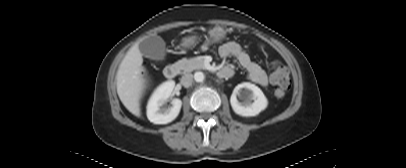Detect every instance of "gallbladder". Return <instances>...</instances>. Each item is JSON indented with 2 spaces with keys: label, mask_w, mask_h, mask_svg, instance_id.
Wrapping results in <instances>:
<instances>
[{
  "label": "gallbladder",
  "mask_w": 406,
  "mask_h": 168,
  "mask_svg": "<svg viewBox=\"0 0 406 168\" xmlns=\"http://www.w3.org/2000/svg\"><path fill=\"white\" fill-rule=\"evenodd\" d=\"M141 54L153 60H163L166 55L164 40L157 35L145 38L139 44Z\"/></svg>",
  "instance_id": "1"
}]
</instances>
